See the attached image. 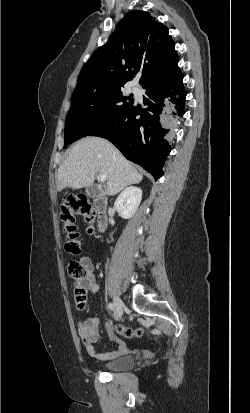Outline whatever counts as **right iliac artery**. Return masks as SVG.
I'll return each instance as SVG.
<instances>
[{"mask_svg":"<svg viewBox=\"0 0 250 413\" xmlns=\"http://www.w3.org/2000/svg\"><path fill=\"white\" fill-rule=\"evenodd\" d=\"M108 308H109V310L112 311V310H113V304H112V303H109V304H108Z\"/></svg>","mask_w":250,"mask_h":413,"instance_id":"82829eb1","label":"right iliac artery"}]
</instances>
